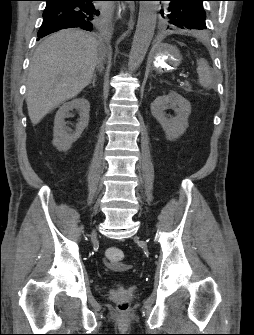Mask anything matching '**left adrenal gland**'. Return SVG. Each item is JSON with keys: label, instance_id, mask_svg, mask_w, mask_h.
<instances>
[{"label": "left adrenal gland", "instance_id": "a2214340", "mask_svg": "<svg viewBox=\"0 0 254 335\" xmlns=\"http://www.w3.org/2000/svg\"><path fill=\"white\" fill-rule=\"evenodd\" d=\"M149 85H150V89H149V90H151V89H152V85H151V83H150Z\"/></svg>", "mask_w": 254, "mask_h": 335}]
</instances>
